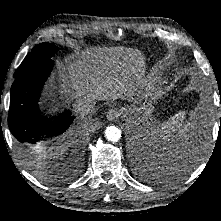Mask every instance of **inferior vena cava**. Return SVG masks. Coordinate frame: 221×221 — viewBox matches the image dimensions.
Returning <instances> with one entry per match:
<instances>
[{
    "mask_svg": "<svg viewBox=\"0 0 221 221\" xmlns=\"http://www.w3.org/2000/svg\"><path fill=\"white\" fill-rule=\"evenodd\" d=\"M95 104L96 102L93 98L85 96L76 100L74 106L76 111L81 115H88L94 112Z\"/></svg>",
    "mask_w": 221,
    "mask_h": 221,
    "instance_id": "obj_1",
    "label": "inferior vena cava"
}]
</instances>
